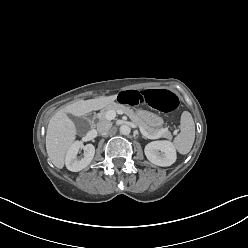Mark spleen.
Listing matches in <instances>:
<instances>
[{
    "instance_id": "obj_1",
    "label": "spleen",
    "mask_w": 248,
    "mask_h": 248,
    "mask_svg": "<svg viewBox=\"0 0 248 248\" xmlns=\"http://www.w3.org/2000/svg\"><path fill=\"white\" fill-rule=\"evenodd\" d=\"M194 140V120L188 111H184L181 115L180 133L173 140L174 146L180 154L185 155L190 152Z\"/></svg>"
}]
</instances>
